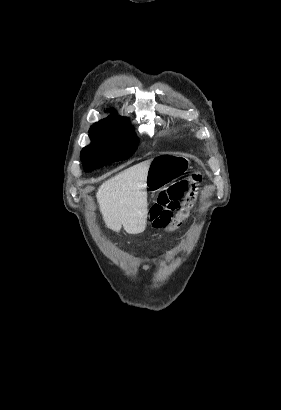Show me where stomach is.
Instances as JSON below:
<instances>
[{
  "mask_svg": "<svg viewBox=\"0 0 281 410\" xmlns=\"http://www.w3.org/2000/svg\"><path fill=\"white\" fill-rule=\"evenodd\" d=\"M189 168V160L181 155L165 153L151 159L146 185L152 191H159L173 179L185 173Z\"/></svg>",
  "mask_w": 281,
  "mask_h": 410,
  "instance_id": "1",
  "label": "stomach"
}]
</instances>
